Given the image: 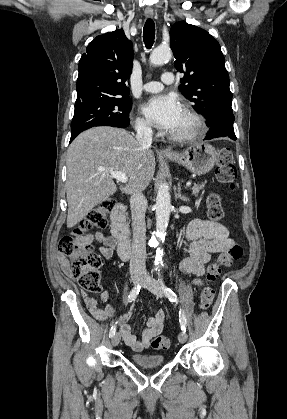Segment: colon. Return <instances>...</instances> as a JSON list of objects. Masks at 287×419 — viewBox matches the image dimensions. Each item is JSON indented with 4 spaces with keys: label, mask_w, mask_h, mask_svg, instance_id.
<instances>
[{
    "label": "colon",
    "mask_w": 287,
    "mask_h": 419,
    "mask_svg": "<svg viewBox=\"0 0 287 419\" xmlns=\"http://www.w3.org/2000/svg\"><path fill=\"white\" fill-rule=\"evenodd\" d=\"M215 173L219 182L227 185L230 189L235 187L237 169L233 153L229 148H224L219 152ZM113 207V201H103L87 214L80 227L62 237L59 242L60 252L70 260L69 266L72 275L78 280L80 287L87 292L95 293L101 289L99 275L101 258L94 251L84 233L93 228H105ZM208 207L209 216L212 220L222 218L221 199L217 194L209 195ZM242 254L243 250L239 244L231 245L218 257L216 262L209 266L206 275L207 281H214L222 266H229L234 261H238ZM214 293V289L210 286L202 290L200 295L202 309H208L211 306ZM170 344L171 338L166 336H156L151 343L152 347L157 350H166Z\"/></svg>",
    "instance_id": "obj_1"
}]
</instances>
